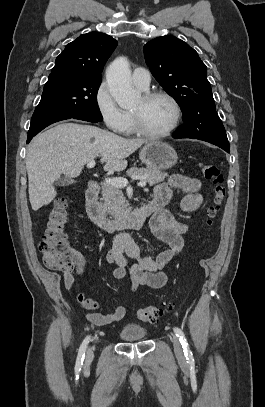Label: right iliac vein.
I'll return each instance as SVG.
<instances>
[{
  "mask_svg": "<svg viewBox=\"0 0 265 407\" xmlns=\"http://www.w3.org/2000/svg\"><path fill=\"white\" fill-rule=\"evenodd\" d=\"M93 359V350L89 348L86 354V362H90Z\"/></svg>",
  "mask_w": 265,
  "mask_h": 407,
  "instance_id": "right-iliac-vein-1",
  "label": "right iliac vein"
}]
</instances>
